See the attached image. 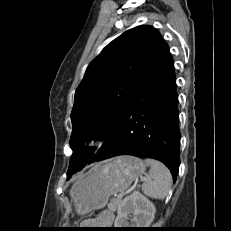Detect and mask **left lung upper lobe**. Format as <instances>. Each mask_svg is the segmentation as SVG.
<instances>
[{
    "instance_id": "obj_1",
    "label": "left lung upper lobe",
    "mask_w": 231,
    "mask_h": 231,
    "mask_svg": "<svg viewBox=\"0 0 231 231\" xmlns=\"http://www.w3.org/2000/svg\"><path fill=\"white\" fill-rule=\"evenodd\" d=\"M165 44L157 29L138 26L110 42L89 64L75 92L67 176L92 158L94 151L85 149V141L105 139Z\"/></svg>"
}]
</instances>
